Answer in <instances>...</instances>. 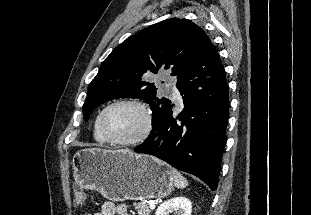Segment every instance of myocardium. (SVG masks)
<instances>
[{"instance_id": "1", "label": "myocardium", "mask_w": 311, "mask_h": 215, "mask_svg": "<svg viewBox=\"0 0 311 215\" xmlns=\"http://www.w3.org/2000/svg\"><path fill=\"white\" fill-rule=\"evenodd\" d=\"M124 104L138 107L144 114L145 124L142 132L138 136L131 139L122 140L114 138L106 132L104 127V117L107 111L112 107ZM152 127H153V118L150 108L145 102L135 98H123L111 102L101 110L98 117V128L103 138L111 144L120 146H136L143 143L151 134Z\"/></svg>"}]
</instances>
